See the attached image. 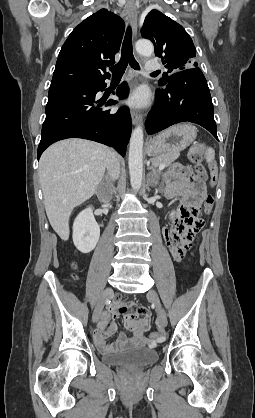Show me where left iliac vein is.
Masks as SVG:
<instances>
[{
    "instance_id": "left-iliac-vein-1",
    "label": "left iliac vein",
    "mask_w": 255,
    "mask_h": 418,
    "mask_svg": "<svg viewBox=\"0 0 255 418\" xmlns=\"http://www.w3.org/2000/svg\"><path fill=\"white\" fill-rule=\"evenodd\" d=\"M148 299L155 304L158 314V323L162 327H166L168 324V320L166 314L162 308L159 296L155 290H150L147 294Z\"/></svg>"
}]
</instances>
